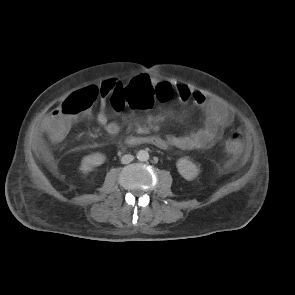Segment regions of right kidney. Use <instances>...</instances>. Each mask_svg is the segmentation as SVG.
<instances>
[{"instance_id":"obj_1","label":"right kidney","mask_w":295,"mask_h":295,"mask_svg":"<svg viewBox=\"0 0 295 295\" xmlns=\"http://www.w3.org/2000/svg\"><path fill=\"white\" fill-rule=\"evenodd\" d=\"M105 162V156L100 153H93L85 156L81 161L80 170L83 173H88L94 167L100 166Z\"/></svg>"}]
</instances>
